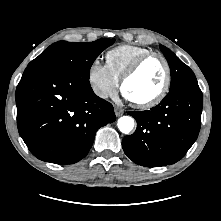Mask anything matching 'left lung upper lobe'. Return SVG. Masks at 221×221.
Returning a JSON list of instances; mask_svg holds the SVG:
<instances>
[{
  "instance_id": "5c2ea615",
  "label": "left lung upper lobe",
  "mask_w": 221,
  "mask_h": 221,
  "mask_svg": "<svg viewBox=\"0 0 221 221\" xmlns=\"http://www.w3.org/2000/svg\"><path fill=\"white\" fill-rule=\"evenodd\" d=\"M160 49L167 59L171 71L170 90L186 83L197 82L193 71L187 65H185L170 49L162 45H160Z\"/></svg>"
}]
</instances>
